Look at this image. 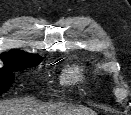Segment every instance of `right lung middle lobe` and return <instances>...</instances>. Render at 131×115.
Wrapping results in <instances>:
<instances>
[{"label": "right lung middle lobe", "instance_id": "1", "mask_svg": "<svg viewBox=\"0 0 131 115\" xmlns=\"http://www.w3.org/2000/svg\"><path fill=\"white\" fill-rule=\"evenodd\" d=\"M40 61L41 59L39 57L27 56L12 63L9 68L0 70V95L9 89L14 79L13 71L35 67L40 63Z\"/></svg>", "mask_w": 131, "mask_h": 115}]
</instances>
